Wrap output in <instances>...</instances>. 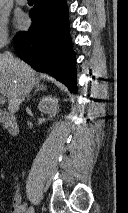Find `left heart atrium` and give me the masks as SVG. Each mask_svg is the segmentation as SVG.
<instances>
[{
    "label": "left heart atrium",
    "mask_w": 128,
    "mask_h": 213,
    "mask_svg": "<svg viewBox=\"0 0 128 213\" xmlns=\"http://www.w3.org/2000/svg\"><path fill=\"white\" fill-rule=\"evenodd\" d=\"M27 23H28V21H27V18H26V16L25 15H18L17 16V18H16V25H17V27H19V28H25L26 26H27Z\"/></svg>",
    "instance_id": "1"
}]
</instances>
